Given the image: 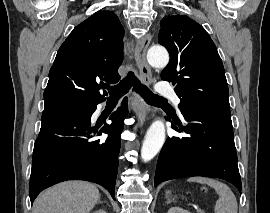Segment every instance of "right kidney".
Segmentation results:
<instances>
[{"label":"right kidney","mask_w":270,"mask_h":213,"mask_svg":"<svg viewBox=\"0 0 270 213\" xmlns=\"http://www.w3.org/2000/svg\"><path fill=\"white\" fill-rule=\"evenodd\" d=\"M93 213H107V212H106L105 210L100 209V210L95 211V212H93Z\"/></svg>","instance_id":"right-kidney-1"}]
</instances>
